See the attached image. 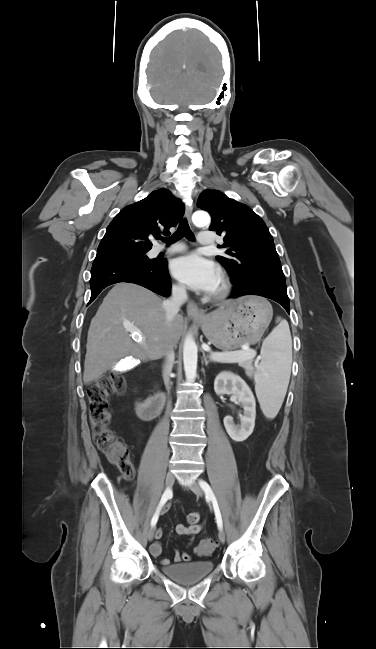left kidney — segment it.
Wrapping results in <instances>:
<instances>
[{"label":"left kidney","instance_id":"left-kidney-1","mask_svg":"<svg viewBox=\"0 0 376 649\" xmlns=\"http://www.w3.org/2000/svg\"><path fill=\"white\" fill-rule=\"evenodd\" d=\"M214 390L218 395L231 394L232 398L242 404L244 415L241 416V425H235L231 416H226L223 422L234 441L246 440L253 432L256 418V402L251 389L240 376L231 372H221L215 378Z\"/></svg>","mask_w":376,"mask_h":649}]
</instances>
